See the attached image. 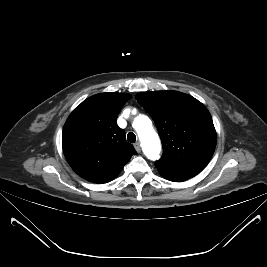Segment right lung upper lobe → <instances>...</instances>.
<instances>
[{
	"label": "right lung upper lobe",
	"instance_id": "obj_1",
	"mask_svg": "<svg viewBox=\"0 0 267 267\" xmlns=\"http://www.w3.org/2000/svg\"><path fill=\"white\" fill-rule=\"evenodd\" d=\"M129 99L125 93L97 94L84 100L68 117L62 135L64 155L85 180H113L137 153L117 125V116Z\"/></svg>",
	"mask_w": 267,
	"mask_h": 267
}]
</instances>
